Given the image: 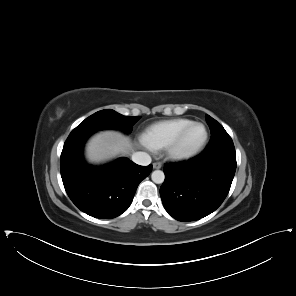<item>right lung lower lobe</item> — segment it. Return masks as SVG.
Instances as JSON below:
<instances>
[{"label":"right lung lower lobe","instance_id":"right-lung-lower-lobe-1","mask_svg":"<svg viewBox=\"0 0 296 296\" xmlns=\"http://www.w3.org/2000/svg\"><path fill=\"white\" fill-rule=\"evenodd\" d=\"M92 133H70L61 153V177L68 196L81 211L95 218L111 219L128 209L152 165L139 166L127 158L102 167L87 165L82 151Z\"/></svg>","mask_w":296,"mask_h":296}]
</instances>
